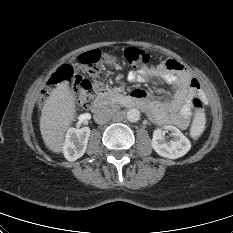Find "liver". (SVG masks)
Returning a JSON list of instances; mask_svg holds the SVG:
<instances>
[{
  "label": "liver",
  "mask_w": 233,
  "mask_h": 233,
  "mask_svg": "<svg viewBox=\"0 0 233 233\" xmlns=\"http://www.w3.org/2000/svg\"><path fill=\"white\" fill-rule=\"evenodd\" d=\"M76 117L75 96L67 82H62L47 98L41 112L40 131L47 148L61 153L65 133Z\"/></svg>",
  "instance_id": "1"
}]
</instances>
